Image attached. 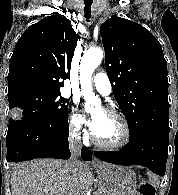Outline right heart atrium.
I'll use <instances>...</instances> for the list:
<instances>
[{
  "instance_id": "obj_1",
  "label": "right heart atrium",
  "mask_w": 178,
  "mask_h": 195,
  "mask_svg": "<svg viewBox=\"0 0 178 195\" xmlns=\"http://www.w3.org/2000/svg\"><path fill=\"white\" fill-rule=\"evenodd\" d=\"M69 132L73 139L84 141L88 138V132L84 127L82 116L78 113L75 105L71 107L69 115Z\"/></svg>"
}]
</instances>
